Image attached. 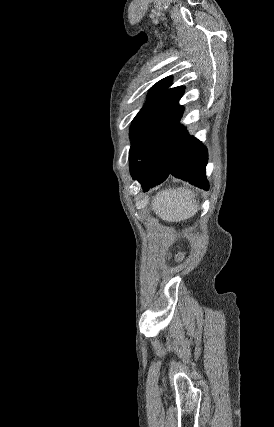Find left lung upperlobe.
Listing matches in <instances>:
<instances>
[{"label":"left lung upper lobe","mask_w":274,"mask_h":427,"mask_svg":"<svg viewBox=\"0 0 274 427\" xmlns=\"http://www.w3.org/2000/svg\"><path fill=\"white\" fill-rule=\"evenodd\" d=\"M171 84V77L156 83L150 90L149 100L133 119L130 128L132 140L129 152L130 169L136 161L141 142L153 124L158 121L181 96L184 88L167 89Z\"/></svg>","instance_id":"left-lung-upper-lobe-1"}]
</instances>
